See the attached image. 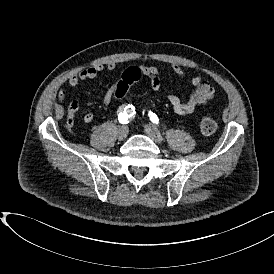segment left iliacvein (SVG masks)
Instances as JSON below:
<instances>
[{
    "label": "left iliac vein",
    "mask_w": 274,
    "mask_h": 274,
    "mask_svg": "<svg viewBox=\"0 0 274 274\" xmlns=\"http://www.w3.org/2000/svg\"><path fill=\"white\" fill-rule=\"evenodd\" d=\"M146 134L156 143H162L163 142V136L161 132L158 130V128L153 124H146L144 126Z\"/></svg>",
    "instance_id": "obj_1"
}]
</instances>
